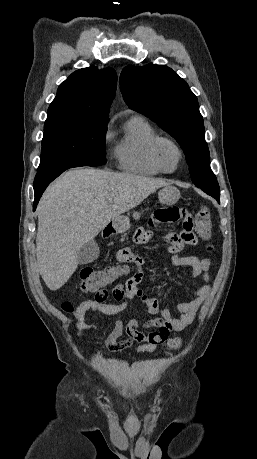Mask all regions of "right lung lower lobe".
<instances>
[{
  "label": "right lung lower lobe",
  "instance_id": "98d812e1",
  "mask_svg": "<svg viewBox=\"0 0 257 459\" xmlns=\"http://www.w3.org/2000/svg\"><path fill=\"white\" fill-rule=\"evenodd\" d=\"M79 166H85V165H80V164H70V165H65V166H59L51 170L47 171H37V175L34 180V193H35V201L33 203V210L36 209V206L38 204V201L46 189V187L49 185L50 182H52L56 177H58L61 173H63L65 170L73 167H79Z\"/></svg>",
  "mask_w": 257,
  "mask_h": 459
}]
</instances>
